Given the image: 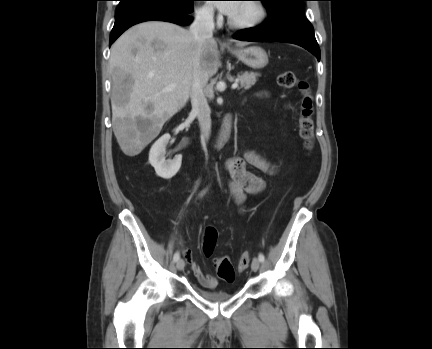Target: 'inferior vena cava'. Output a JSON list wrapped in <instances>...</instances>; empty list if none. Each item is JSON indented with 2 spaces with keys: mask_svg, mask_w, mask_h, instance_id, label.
Returning <instances> with one entry per match:
<instances>
[{
  "mask_svg": "<svg viewBox=\"0 0 432 349\" xmlns=\"http://www.w3.org/2000/svg\"><path fill=\"white\" fill-rule=\"evenodd\" d=\"M214 11L211 8L197 10L194 20L190 26V33L199 45L208 39L213 38L214 30ZM206 80L203 78L199 63H195L192 88L190 93L192 112L197 115L201 142L203 144L209 139L211 133L210 108L204 94Z\"/></svg>",
  "mask_w": 432,
  "mask_h": 349,
  "instance_id": "602c4592",
  "label": "inferior vena cava"
}]
</instances>
